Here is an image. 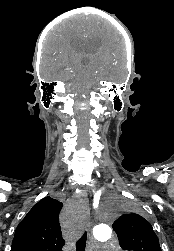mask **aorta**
Returning <instances> with one entry per match:
<instances>
[{
	"mask_svg": "<svg viewBox=\"0 0 174 251\" xmlns=\"http://www.w3.org/2000/svg\"><path fill=\"white\" fill-rule=\"evenodd\" d=\"M110 219V212L101 209L99 213V220L93 229V236L97 242L103 243L111 239L112 229L109 224Z\"/></svg>",
	"mask_w": 174,
	"mask_h": 251,
	"instance_id": "aorta-1",
	"label": "aorta"
}]
</instances>
